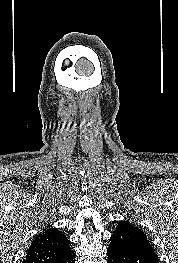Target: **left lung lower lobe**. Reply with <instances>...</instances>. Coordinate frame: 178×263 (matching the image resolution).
<instances>
[{"mask_svg":"<svg viewBox=\"0 0 178 263\" xmlns=\"http://www.w3.org/2000/svg\"><path fill=\"white\" fill-rule=\"evenodd\" d=\"M107 255V263H159L147 236L127 221L118 223Z\"/></svg>","mask_w":178,"mask_h":263,"instance_id":"left-lung-lower-lobe-1","label":"left lung lower lobe"}]
</instances>
